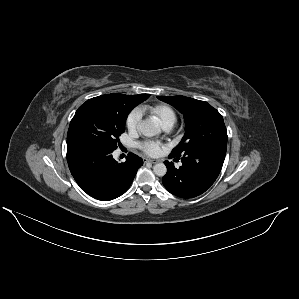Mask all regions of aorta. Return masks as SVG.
<instances>
[{"instance_id":"obj_1","label":"aorta","mask_w":299,"mask_h":299,"mask_svg":"<svg viewBox=\"0 0 299 299\" xmlns=\"http://www.w3.org/2000/svg\"><path fill=\"white\" fill-rule=\"evenodd\" d=\"M140 131L146 137H152L160 132L159 124L152 119H145L140 123ZM153 171L157 176L163 177L167 168L164 163H157L153 167Z\"/></svg>"}]
</instances>
